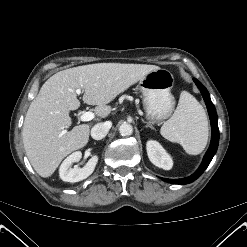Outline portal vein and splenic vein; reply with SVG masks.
Here are the masks:
<instances>
[{
    "instance_id": "portal-vein-and-splenic-vein-1",
    "label": "portal vein and splenic vein",
    "mask_w": 247,
    "mask_h": 247,
    "mask_svg": "<svg viewBox=\"0 0 247 247\" xmlns=\"http://www.w3.org/2000/svg\"><path fill=\"white\" fill-rule=\"evenodd\" d=\"M76 93L77 94H80L81 93V90L80 89H76ZM95 115L93 112H83L80 117H79V120L82 121V122H86V121H91L92 119H94Z\"/></svg>"
}]
</instances>
